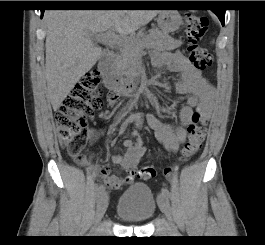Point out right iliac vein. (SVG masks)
<instances>
[{
	"instance_id": "obj_1",
	"label": "right iliac vein",
	"mask_w": 265,
	"mask_h": 245,
	"mask_svg": "<svg viewBox=\"0 0 265 245\" xmlns=\"http://www.w3.org/2000/svg\"><path fill=\"white\" fill-rule=\"evenodd\" d=\"M108 206V196L106 194L102 195L98 201L95 212V222H99L104 216Z\"/></svg>"
}]
</instances>
